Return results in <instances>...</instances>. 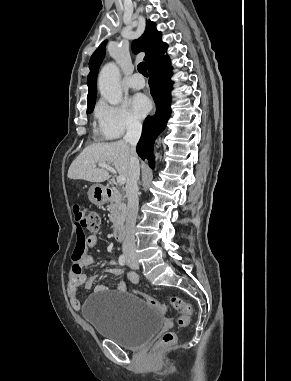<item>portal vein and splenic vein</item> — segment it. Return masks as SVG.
Here are the masks:
<instances>
[{
	"label": "portal vein and splenic vein",
	"mask_w": 291,
	"mask_h": 381,
	"mask_svg": "<svg viewBox=\"0 0 291 381\" xmlns=\"http://www.w3.org/2000/svg\"><path fill=\"white\" fill-rule=\"evenodd\" d=\"M97 165H98V167L105 168L106 170L110 171L111 173L116 174L115 169H113L110 165H108V164H106V163H98ZM125 181H126V180H125V178H123V177H118V178H117V182H118L119 184H124Z\"/></svg>",
	"instance_id": "obj_1"
}]
</instances>
